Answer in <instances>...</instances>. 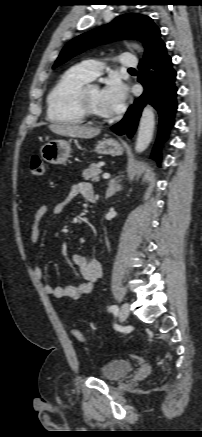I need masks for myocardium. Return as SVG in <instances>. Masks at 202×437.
<instances>
[{
    "mask_svg": "<svg viewBox=\"0 0 202 437\" xmlns=\"http://www.w3.org/2000/svg\"><path fill=\"white\" fill-rule=\"evenodd\" d=\"M91 85H84L81 90L78 93L77 96V103L78 108L84 117V119L94 121V122H106L110 120V117L108 116H101L97 114L92 107L90 106L89 100H88V88Z\"/></svg>",
    "mask_w": 202,
    "mask_h": 437,
    "instance_id": "obj_1",
    "label": "myocardium"
}]
</instances>
